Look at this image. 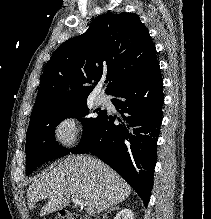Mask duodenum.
I'll return each instance as SVG.
<instances>
[{"label":"duodenum","mask_w":211,"mask_h":219,"mask_svg":"<svg viewBox=\"0 0 211 219\" xmlns=\"http://www.w3.org/2000/svg\"><path fill=\"white\" fill-rule=\"evenodd\" d=\"M80 219H95V218H91V217H78Z\"/></svg>","instance_id":"obj_1"}]
</instances>
